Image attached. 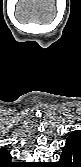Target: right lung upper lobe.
I'll use <instances>...</instances> for the list:
<instances>
[{
    "instance_id": "right-lung-upper-lobe-1",
    "label": "right lung upper lobe",
    "mask_w": 81,
    "mask_h": 167,
    "mask_svg": "<svg viewBox=\"0 0 81 167\" xmlns=\"http://www.w3.org/2000/svg\"><path fill=\"white\" fill-rule=\"evenodd\" d=\"M0 160L3 165H9L11 162V155L7 149L3 148L0 150Z\"/></svg>"
}]
</instances>
